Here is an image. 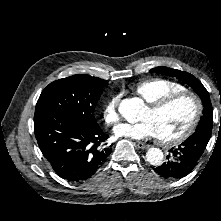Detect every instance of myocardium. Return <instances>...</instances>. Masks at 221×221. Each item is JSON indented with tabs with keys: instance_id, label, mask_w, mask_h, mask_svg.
I'll use <instances>...</instances> for the list:
<instances>
[{
	"instance_id": "1",
	"label": "myocardium",
	"mask_w": 221,
	"mask_h": 221,
	"mask_svg": "<svg viewBox=\"0 0 221 221\" xmlns=\"http://www.w3.org/2000/svg\"><path fill=\"white\" fill-rule=\"evenodd\" d=\"M182 98H188L193 102L194 113H193L192 119L189 122V124L187 125V127L178 135L170 137V138L158 137L159 141L163 145H168V146L176 145V144H179V143L185 141L189 136H191V134L196 129V127L200 121L201 115H202V102H201L200 98L195 93L185 90V91H179V92L165 95L152 103H148L147 108L150 111L158 112V111L164 109L165 107H167L168 105H170L171 103H173L179 99H182Z\"/></svg>"
}]
</instances>
